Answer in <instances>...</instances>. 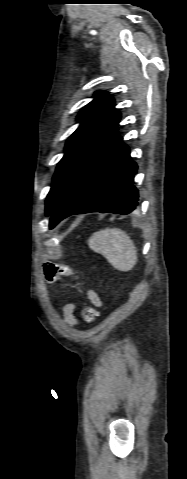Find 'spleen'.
<instances>
[{"label": "spleen", "mask_w": 187, "mask_h": 479, "mask_svg": "<svg viewBox=\"0 0 187 479\" xmlns=\"http://www.w3.org/2000/svg\"><path fill=\"white\" fill-rule=\"evenodd\" d=\"M89 247L103 255L117 270L130 271L137 262V250L130 237L121 229L106 228L92 234Z\"/></svg>", "instance_id": "1"}]
</instances>
